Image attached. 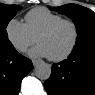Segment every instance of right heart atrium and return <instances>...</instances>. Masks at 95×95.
Here are the masks:
<instances>
[{
    "label": "right heart atrium",
    "instance_id": "right-heart-atrium-1",
    "mask_svg": "<svg viewBox=\"0 0 95 95\" xmlns=\"http://www.w3.org/2000/svg\"><path fill=\"white\" fill-rule=\"evenodd\" d=\"M5 32L9 42L19 52L26 51L36 41V38L30 34L26 25L15 18L8 21Z\"/></svg>",
    "mask_w": 95,
    "mask_h": 95
}]
</instances>
